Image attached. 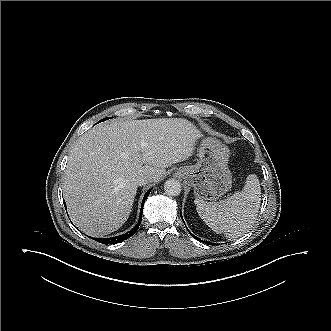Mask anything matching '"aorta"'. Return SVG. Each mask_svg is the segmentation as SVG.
Wrapping results in <instances>:
<instances>
[{
	"mask_svg": "<svg viewBox=\"0 0 331 331\" xmlns=\"http://www.w3.org/2000/svg\"><path fill=\"white\" fill-rule=\"evenodd\" d=\"M182 190L181 184L176 179H168L164 183V191L169 196H178Z\"/></svg>",
	"mask_w": 331,
	"mask_h": 331,
	"instance_id": "obj_1",
	"label": "aorta"
}]
</instances>
